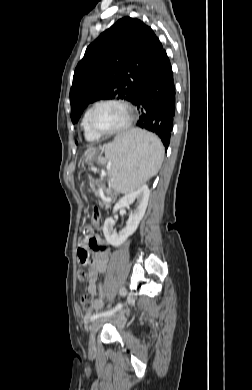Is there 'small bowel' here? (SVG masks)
I'll return each mask as SVG.
<instances>
[{
  "instance_id": "obj_1",
  "label": "small bowel",
  "mask_w": 252,
  "mask_h": 390,
  "mask_svg": "<svg viewBox=\"0 0 252 390\" xmlns=\"http://www.w3.org/2000/svg\"><path fill=\"white\" fill-rule=\"evenodd\" d=\"M90 250L94 251V257L89 261ZM77 254L80 262L82 256L86 255L84 265H88V293L93 297V309L98 311L103 306L104 291L102 287L97 286L98 276L104 273L107 269L109 261V250L104 241L93 234V230L88 228L85 230L83 236L79 239ZM99 292V296L97 294ZM89 315L87 314L86 317Z\"/></svg>"
}]
</instances>
